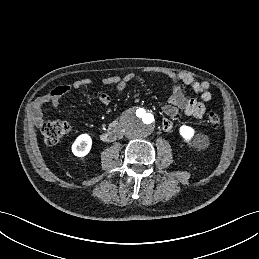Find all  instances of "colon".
<instances>
[{
  "label": "colon",
  "mask_w": 259,
  "mask_h": 259,
  "mask_svg": "<svg viewBox=\"0 0 259 259\" xmlns=\"http://www.w3.org/2000/svg\"><path fill=\"white\" fill-rule=\"evenodd\" d=\"M207 122L212 128H217L220 125V117L214 112H209ZM41 131L46 144L54 145L69 132V124L63 120L48 121L42 126Z\"/></svg>",
  "instance_id": "colon-1"
}]
</instances>
